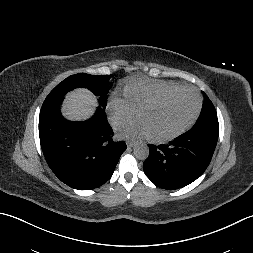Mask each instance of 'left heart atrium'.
I'll return each mask as SVG.
<instances>
[{
  "label": "left heart atrium",
  "instance_id": "obj_1",
  "mask_svg": "<svg viewBox=\"0 0 253 253\" xmlns=\"http://www.w3.org/2000/svg\"><path fill=\"white\" fill-rule=\"evenodd\" d=\"M118 132L124 137H149L150 132L146 124L139 118L136 121L124 123L118 126Z\"/></svg>",
  "mask_w": 253,
  "mask_h": 253
}]
</instances>
